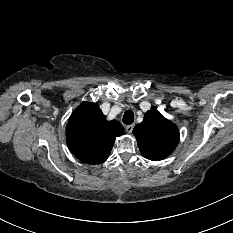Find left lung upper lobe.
Returning a JSON list of instances; mask_svg holds the SVG:
<instances>
[{
	"instance_id": "obj_1",
	"label": "left lung upper lobe",
	"mask_w": 233,
	"mask_h": 233,
	"mask_svg": "<svg viewBox=\"0 0 233 233\" xmlns=\"http://www.w3.org/2000/svg\"><path fill=\"white\" fill-rule=\"evenodd\" d=\"M141 154L152 161L168 157L179 142L178 127L156 108L145 113L142 123L133 129Z\"/></svg>"
}]
</instances>
